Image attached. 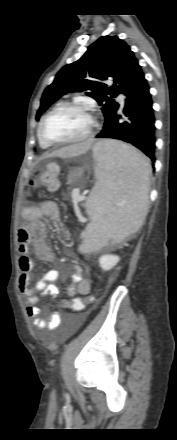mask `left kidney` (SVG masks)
I'll use <instances>...</instances> for the list:
<instances>
[{"label": "left kidney", "instance_id": "1", "mask_svg": "<svg viewBox=\"0 0 177 440\" xmlns=\"http://www.w3.org/2000/svg\"><path fill=\"white\" fill-rule=\"evenodd\" d=\"M119 261H120V257L119 256L111 255V254L102 255L99 258L100 267L104 271H108V270L112 269L115 265H117V263Z\"/></svg>", "mask_w": 177, "mask_h": 440}]
</instances>
